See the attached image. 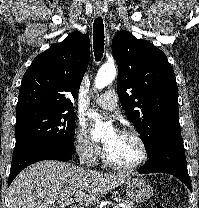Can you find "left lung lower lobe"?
<instances>
[{"label":"left lung lower lobe","mask_w":199,"mask_h":208,"mask_svg":"<svg viewBox=\"0 0 199 208\" xmlns=\"http://www.w3.org/2000/svg\"><path fill=\"white\" fill-rule=\"evenodd\" d=\"M148 162L139 169V173L165 172L180 179L190 190L183 139L180 130L162 135L148 152Z\"/></svg>","instance_id":"left-lung-lower-lobe-1"}]
</instances>
